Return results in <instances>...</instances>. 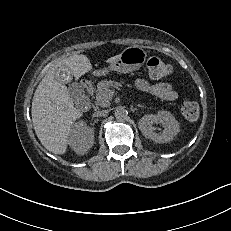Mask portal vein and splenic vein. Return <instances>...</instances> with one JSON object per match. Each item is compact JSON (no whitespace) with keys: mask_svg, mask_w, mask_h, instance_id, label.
I'll list each match as a JSON object with an SVG mask.
<instances>
[{"mask_svg":"<svg viewBox=\"0 0 231 231\" xmlns=\"http://www.w3.org/2000/svg\"><path fill=\"white\" fill-rule=\"evenodd\" d=\"M113 93H114L113 91H110V92H109V94L112 95V96H113Z\"/></svg>","mask_w":231,"mask_h":231,"instance_id":"1","label":"portal vein and splenic vein"}]
</instances>
